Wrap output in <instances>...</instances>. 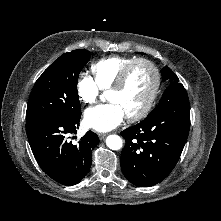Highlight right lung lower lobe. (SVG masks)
I'll use <instances>...</instances> for the list:
<instances>
[{
    "instance_id": "right-lung-lower-lobe-1",
    "label": "right lung lower lobe",
    "mask_w": 221,
    "mask_h": 221,
    "mask_svg": "<svg viewBox=\"0 0 221 221\" xmlns=\"http://www.w3.org/2000/svg\"><path fill=\"white\" fill-rule=\"evenodd\" d=\"M80 118L63 115L46 116L26 122V132L33 155L41 169L56 182L71 186L89 172L92 150L98 136L88 131L78 142L68 140L75 134Z\"/></svg>"
}]
</instances>
